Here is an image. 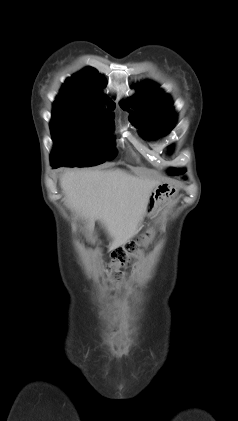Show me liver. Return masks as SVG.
I'll return each instance as SVG.
<instances>
[{
	"instance_id": "6515ba94",
	"label": "liver",
	"mask_w": 238,
	"mask_h": 421,
	"mask_svg": "<svg viewBox=\"0 0 238 421\" xmlns=\"http://www.w3.org/2000/svg\"><path fill=\"white\" fill-rule=\"evenodd\" d=\"M158 184L122 169L68 170L60 178L68 207L88 220L91 228L95 220L101 221L112 238L110 249L134 236Z\"/></svg>"
}]
</instances>
